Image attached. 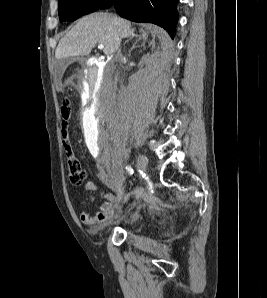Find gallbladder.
I'll return each mask as SVG.
<instances>
[{
    "mask_svg": "<svg viewBox=\"0 0 267 298\" xmlns=\"http://www.w3.org/2000/svg\"><path fill=\"white\" fill-rule=\"evenodd\" d=\"M73 58H66L57 61V73H61L64 69L72 62ZM77 60H82V58H77Z\"/></svg>",
    "mask_w": 267,
    "mask_h": 298,
    "instance_id": "obj_1",
    "label": "gallbladder"
}]
</instances>
